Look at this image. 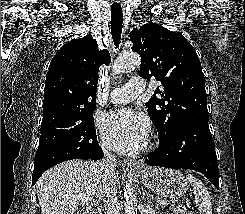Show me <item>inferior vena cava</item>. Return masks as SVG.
<instances>
[{"label": "inferior vena cava", "instance_id": "1", "mask_svg": "<svg viewBox=\"0 0 245 214\" xmlns=\"http://www.w3.org/2000/svg\"><path fill=\"white\" fill-rule=\"evenodd\" d=\"M104 158L98 163V167L101 171L106 174H111L115 171V156L104 149ZM105 207H107V214H119L117 209L118 198H117V187L115 184H111L106 187L105 193Z\"/></svg>", "mask_w": 245, "mask_h": 214}]
</instances>
